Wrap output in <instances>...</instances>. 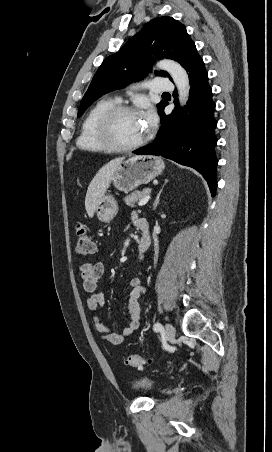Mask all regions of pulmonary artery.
<instances>
[{
  "label": "pulmonary artery",
  "mask_w": 272,
  "mask_h": 452,
  "mask_svg": "<svg viewBox=\"0 0 272 452\" xmlns=\"http://www.w3.org/2000/svg\"><path fill=\"white\" fill-rule=\"evenodd\" d=\"M150 91L154 94L173 91L175 89L174 83L167 78H154L149 83Z\"/></svg>",
  "instance_id": "obj_1"
}]
</instances>
